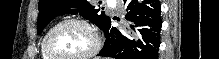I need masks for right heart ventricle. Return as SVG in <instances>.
Segmentation results:
<instances>
[{"label": "right heart ventricle", "mask_w": 219, "mask_h": 59, "mask_svg": "<svg viewBox=\"0 0 219 59\" xmlns=\"http://www.w3.org/2000/svg\"><path fill=\"white\" fill-rule=\"evenodd\" d=\"M40 51H41L42 59H52L47 55V53L45 52V50L43 48V40L40 43Z\"/></svg>", "instance_id": "1"}]
</instances>
